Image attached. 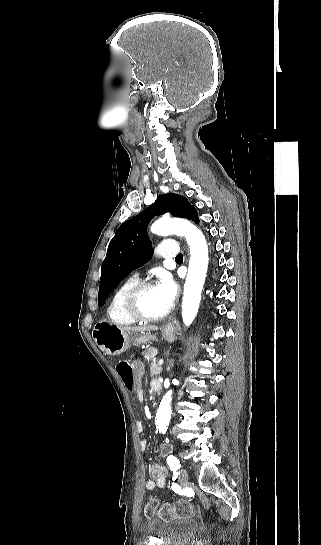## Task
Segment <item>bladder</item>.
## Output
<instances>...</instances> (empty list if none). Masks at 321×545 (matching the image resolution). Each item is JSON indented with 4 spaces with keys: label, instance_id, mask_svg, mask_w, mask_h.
I'll return each instance as SVG.
<instances>
[{
    "label": "bladder",
    "instance_id": "bladder-1",
    "mask_svg": "<svg viewBox=\"0 0 321 545\" xmlns=\"http://www.w3.org/2000/svg\"><path fill=\"white\" fill-rule=\"evenodd\" d=\"M197 522L191 517L164 519L153 513L146 522V532L165 545H182L194 533Z\"/></svg>",
    "mask_w": 321,
    "mask_h": 545
}]
</instances>
